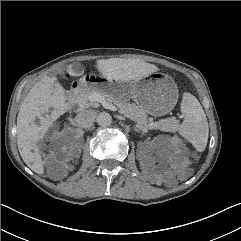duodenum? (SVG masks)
<instances>
[{"instance_id":"1","label":"duodenum","mask_w":241,"mask_h":241,"mask_svg":"<svg viewBox=\"0 0 241 241\" xmlns=\"http://www.w3.org/2000/svg\"><path fill=\"white\" fill-rule=\"evenodd\" d=\"M84 83L82 81L74 82L70 92V104L72 105L79 96V92L82 89Z\"/></svg>"}]
</instances>
